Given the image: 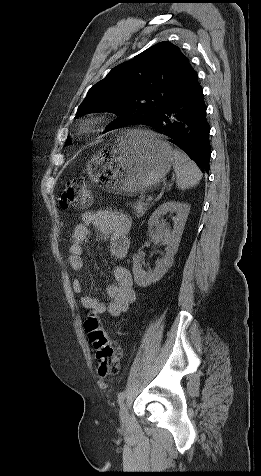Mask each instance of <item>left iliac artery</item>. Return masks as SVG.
<instances>
[{"instance_id": "left-iliac-artery-1", "label": "left iliac artery", "mask_w": 261, "mask_h": 476, "mask_svg": "<svg viewBox=\"0 0 261 476\" xmlns=\"http://www.w3.org/2000/svg\"><path fill=\"white\" fill-rule=\"evenodd\" d=\"M125 396H126V392H125V391L120 392V393L118 394V402L121 403V402L124 400Z\"/></svg>"}]
</instances>
